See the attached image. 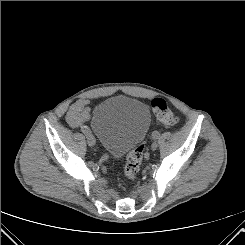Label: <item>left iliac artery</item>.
Returning <instances> with one entry per match:
<instances>
[{
	"instance_id": "obj_1",
	"label": "left iliac artery",
	"mask_w": 245,
	"mask_h": 245,
	"mask_svg": "<svg viewBox=\"0 0 245 245\" xmlns=\"http://www.w3.org/2000/svg\"><path fill=\"white\" fill-rule=\"evenodd\" d=\"M152 138L153 139H158L159 138V133L157 131L153 132Z\"/></svg>"
}]
</instances>
